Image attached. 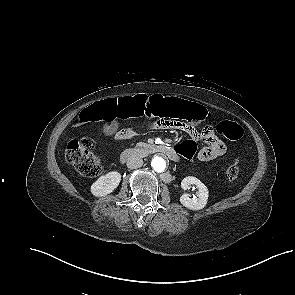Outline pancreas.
<instances>
[{"mask_svg":"<svg viewBox=\"0 0 295 295\" xmlns=\"http://www.w3.org/2000/svg\"><path fill=\"white\" fill-rule=\"evenodd\" d=\"M147 146L148 145L146 143H144V142H139V143L136 144V147L138 149H143V148H146Z\"/></svg>","mask_w":295,"mask_h":295,"instance_id":"cf45deb5","label":"pancreas"}]
</instances>
